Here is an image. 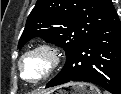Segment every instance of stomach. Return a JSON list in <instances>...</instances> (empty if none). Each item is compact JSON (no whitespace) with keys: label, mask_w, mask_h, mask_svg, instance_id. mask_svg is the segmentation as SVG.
Wrapping results in <instances>:
<instances>
[{"label":"stomach","mask_w":121,"mask_h":94,"mask_svg":"<svg viewBox=\"0 0 121 94\" xmlns=\"http://www.w3.org/2000/svg\"><path fill=\"white\" fill-rule=\"evenodd\" d=\"M46 94H101L100 90L88 83H69L55 88Z\"/></svg>","instance_id":"obj_1"}]
</instances>
